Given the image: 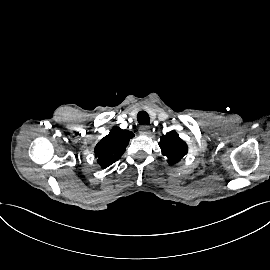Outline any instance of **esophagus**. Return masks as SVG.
<instances>
[{"label":"esophagus","instance_id":"obj_1","mask_svg":"<svg viewBox=\"0 0 270 270\" xmlns=\"http://www.w3.org/2000/svg\"><path fill=\"white\" fill-rule=\"evenodd\" d=\"M139 133L144 134V135L149 134L150 133V127L147 126V125L141 126L140 129H139Z\"/></svg>","mask_w":270,"mask_h":270}]
</instances>
